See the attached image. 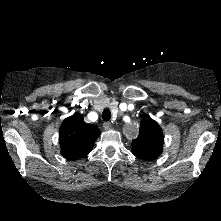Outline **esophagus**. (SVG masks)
Listing matches in <instances>:
<instances>
[{
  "instance_id": "34e87169",
  "label": "esophagus",
  "mask_w": 221,
  "mask_h": 221,
  "mask_svg": "<svg viewBox=\"0 0 221 221\" xmlns=\"http://www.w3.org/2000/svg\"><path fill=\"white\" fill-rule=\"evenodd\" d=\"M103 127L105 130H109L112 128V123L111 122H104Z\"/></svg>"
}]
</instances>
